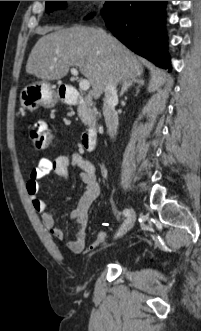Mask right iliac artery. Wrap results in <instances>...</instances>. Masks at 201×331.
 Instances as JSON below:
<instances>
[{"instance_id": "82829eb1", "label": "right iliac artery", "mask_w": 201, "mask_h": 331, "mask_svg": "<svg viewBox=\"0 0 201 331\" xmlns=\"http://www.w3.org/2000/svg\"><path fill=\"white\" fill-rule=\"evenodd\" d=\"M129 213H130V211H129L128 209H125V210L123 211V214H124L125 216H128Z\"/></svg>"}]
</instances>
